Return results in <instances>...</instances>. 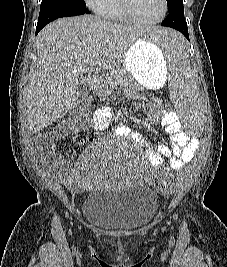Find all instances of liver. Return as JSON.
I'll use <instances>...</instances> for the list:
<instances>
[{
    "label": "liver",
    "instance_id": "obj_1",
    "mask_svg": "<svg viewBox=\"0 0 227 267\" xmlns=\"http://www.w3.org/2000/svg\"><path fill=\"white\" fill-rule=\"evenodd\" d=\"M150 30L84 15L48 24L37 36V62L26 93L27 126L31 133L66 115L80 95L78 77L98 60L115 70L128 49Z\"/></svg>",
    "mask_w": 227,
    "mask_h": 267
}]
</instances>
